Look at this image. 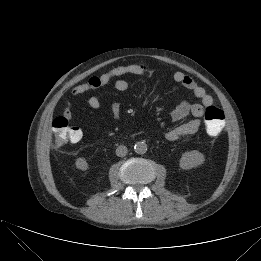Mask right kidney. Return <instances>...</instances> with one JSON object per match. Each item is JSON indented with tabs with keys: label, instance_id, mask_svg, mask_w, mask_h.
Instances as JSON below:
<instances>
[{
	"label": "right kidney",
	"instance_id": "obj_1",
	"mask_svg": "<svg viewBox=\"0 0 261 261\" xmlns=\"http://www.w3.org/2000/svg\"><path fill=\"white\" fill-rule=\"evenodd\" d=\"M76 168L82 171H85L88 169V163L84 157H79L76 159L75 162Z\"/></svg>",
	"mask_w": 261,
	"mask_h": 261
}]
</instances>
